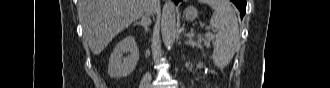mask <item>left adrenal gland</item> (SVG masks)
<instances>
[{
    "label": "left adrenal gland",
    "instance_id": "obj_1",
    "mask_svg": "<svg viewBox=\"0 0 330 88\" xmlns=\"http://www.w3.org/2000/svg\"><path fill=\"white\" fill-rule=\"evenodd\" d=\"M185 44H186V45L193 46V45L191 44V39H189Z\"/></svg>",
    "mask_w": 330,
    "mask_h": 88
}]
</instances>
